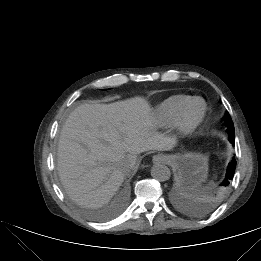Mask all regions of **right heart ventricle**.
Listing matches in <instances>:
<instances>
[{"label": "right heart ventricle", "mask_w": 261, "mask_h": 261, "mask_svg": "<svg viewBox=\"0 0 261 261\" xmlns=\"http://www.w3.org/2000/svg\"><path fill=\"white\" fill-rule=\"evenodd\" d=\"M193 99L189 95H173L158 104L155 110L156 121L161 126L176 122L183 108Z\"/></svg>", "instance_id": "right-heart-ventricle-1"}]
</instances>
